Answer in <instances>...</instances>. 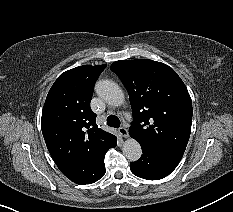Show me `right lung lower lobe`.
<instances>
[{
    "mask_svg": "<svg viewBox=\"0 0 233 212\" xmlns=\"http://www.w3.org/2000/svg\"><path fill=\"white\" fill-rule=\"evenodd\" d=\"M116 145H117V139H116L115 136H113V138L109 141V144L107 146V150L110 149V148H112V147H115ZM104 156H105V154H104ZM105 171L106 170H105L104 159H103L101 161V164H100L98 172L96 173V175L94 176V178L89 183H87V184L94 183V182L98 181L105 174Z\"/></svg>",
    "mask_w": 233,
    "mask_h": 212,
    "instance_id": "98d812e1",
    "label": "right lung lower lobe"
}]
</instances>
